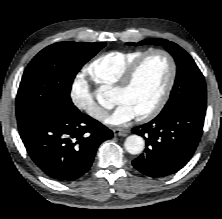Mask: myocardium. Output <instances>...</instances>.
<instances>
[{
  "label": "myocardium",
  "instance_id": "f54148a6",
  "mask_svg": "<svg viewBox=\"0 0 222 219\" xmlns=\"http://www.w3.org/2000/svg\"><path fill=\"white\" fill-rule=\"evenodd\" d=\"M154 54H160L166 58L169 64V76H168V80L164 88V91L160 99L158 100V102L155 104V106H153L147 112L137 116V119L140 121H147V120L155 118L163 110L166 103L168 102L172 89L174 87L176 75H177V64L173 55L165 49H152V50L146 51L129 65V67L125 70L119 82L115 86V89L118 91H124L128 89L131 86L142 63L149 56L154 55Z\"/></svg>",
  "mask_w": 222,
  "mask_h": 219
}]
</instances>
